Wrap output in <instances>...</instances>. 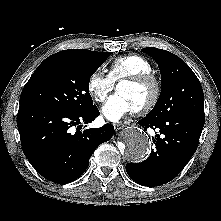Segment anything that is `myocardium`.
<instances>
[{
	"label": "myocardium",
	"mask_w": 221,
	"mask_h": 221,
	"mask_svg": "<svg viewBox=\"0 0 221 221\" xmlns=\"http://www.w3.org/2000/svg\"><path fill=\"white\" fill-rule=\"evenodd\" d=\"M122 83L132 84V85H151L153 88V94L151 99L143 106L135 109L137 114H145L150 112L159 102L161 97V83L158 78L152 73L137 74L134 76L123 78L119 81L118 86Z\"/></svg>",
	"instance_id": "obj_1"
}]
</instances>
